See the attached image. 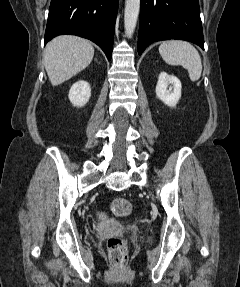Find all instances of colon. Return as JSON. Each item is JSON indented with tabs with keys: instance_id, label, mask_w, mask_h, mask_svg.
<instances>
[{
	"instance_id": "1",
	"label": "colon",
	"mask_w": 240,
	"mask_h": 287,
	"mask_svg": "<svg viewBox=\"0 0 240 287\" xmlns=\"http://www.w3.org/2000/svg\"><path fill=\"white\" fill-rule=\"evenodd\" d=\"M132 205L125 198H116L111 203V211L116 217H125L131 213ZM110 263L117 269L121 268L128 257L127 245L124 239L112 237L107 242Z\"/></svg>"
}]
</instances>
